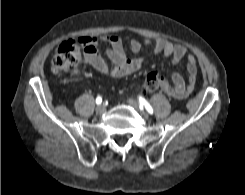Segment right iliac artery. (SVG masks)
Wrapping results in <instances>:
<instances>
[{"instance_id":"82829eb1","label":"right iliac artery","mask_w":245,"mask_h":195,"mask_svg":"<svg viewBox=\"0 0 245 195\" xmlns=\"http://www.w3.org/2000/svg\"><path fill=\"white\" fill-rule=\"evenodd\" d=\"M102 103V98L100 97V96H98L97 98H96V104H101Z\"/></svg>"}]
</instances>
